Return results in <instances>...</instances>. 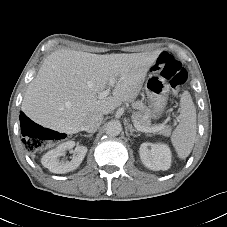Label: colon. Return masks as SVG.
Returning a JSON list of instances; mask_svg holds the SVG:
<instances>
[{
  "label": "colon",
  "mask_w": 227,
  "mask_h": 227,
  "mask_svg": "<svg viewBox=\"0 0 227 227\" xmlns=\"http://www.w3.org/2000/svg\"><path fill=\"white\" fill-rule=\"evenodd\" d=\"M152 70L155 74L166 79L174 92H177L179 87L187 79L186 68L174 56L166 52L159 55ZM25 130L27 139L25 140L24 147L28 151H36L40 149L46 141L53 139L52 131L33 123H28Z\"/></svg>",
  "instance_id": "obj_1"
}]
</instances>
